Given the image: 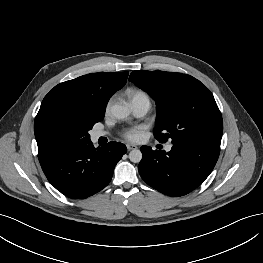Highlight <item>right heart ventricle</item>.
<instances>
[{"label":"right heart ventricle","instance_id":"right-heart-ventricle-1","mask_svg":"<svg viewBox=\"0 0 263 263\" xmlns=\"http://www.w3.org/2000/svg\"><path fill=\"white\" fill-rule=\"evenodd\" d=\"M127 95L130 98L132 104L137 103V102H141V101L150 102V98H149L148 94L141 89L130 88L127 90Z\"/></svg>","mask_w":263,"mask_h":263}]
</instances>
